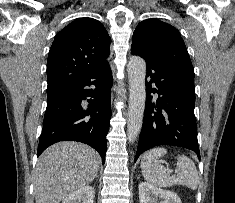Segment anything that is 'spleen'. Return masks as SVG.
Returning a JSON list of instances; mask_svg holds the SVG:
<instances>
[{
  "instance_id": "obj_1",
  "label": "spleen",
  "mask_w": 235,
  "mask_h": 203,
  "mask_svg": "<svg viewBox=\"0 0 235 203\" xmlns=\"http://www.w3.org/2000/svg\"><path fill=\"white\" fill-rule=\"evenodd\" d=\"M167 153L165 148H153L145 152L141 159V170L145 180L158 187L185 185L195 190L199 184V176L194 162L185 155L177 156L176 175H169L168 170L157 159Z\"/></svg>"
}]
</instances>
